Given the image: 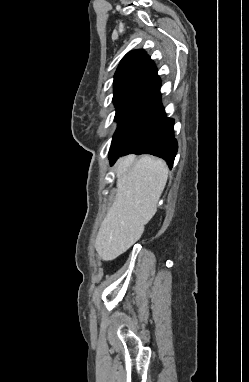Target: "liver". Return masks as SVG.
<instances>
[{
    "label": "liver",
    "instance_id": "obj_1",
    "mask_svg": "<svg viewBox=\"0 0 249 382\" xmlns=\"http://www.w3.org/2000/svg\"><path fill=\"white\" fill-rule=\"evenodd\" d=\"M169 169L162 159L145 155L121 157L116 163V198L104 218L95 247L104 260H113L136 243L157 211Z\"/></svg>",
    "mask_w": 249,
    "mask_h": 382
}]
</instances>
